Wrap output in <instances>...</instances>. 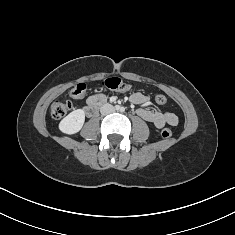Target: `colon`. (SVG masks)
<instances>
[{
	"instance_id": "5ec220e1",
	"label": "colon",
	"mask_w": 235,
	"mask_h": 235,
	"mask_svg": "<svg viewBox=\"0 0 235 235\" xmlns=\"http://www.w3.org/2000/svg\"><path fill=\"white\" fill-rule=\"evenodd\" d=\"M101 87L116 91V92H128L131 90V86L123 82L118 77L106 78L100 83ZM86 92V85L83 83L77 84L73 87L69 95L74 99H79L84 96ZM155 101L159 105H164L167 103V98L163 94H158L155 97ZM72 108V103L69 100H58L55 101L51 106V115L55 119L63 118ZM161 135L163 138L168 139L172 136V130L165 128L162 130Z\"/></svg>"
}]
</instances>
